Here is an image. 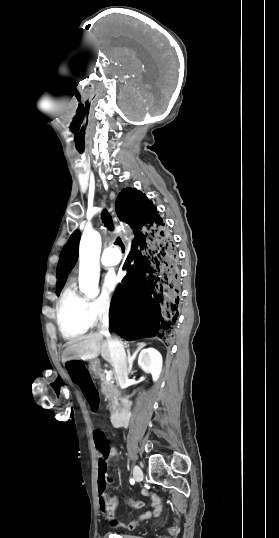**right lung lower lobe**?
<instances>
[{
	"instance_id": "98d812e1",
	"label": "right lung lower lobe",
	"mask_w": 279,
	"mask_h": 538,
	"mask_svg": "<svg viewBox=\"0 0 279 538\" xmlns=\"http://www.w3.org/2000/svg\"><path fill=\"white\" fill-rule=\"evenodd\" d=\"M116 213L127 225L131 254L126 276L116 288L109 323L126 338L170 332L179 315L181 277L172 234L156 207L136 189H123Z\"/></svg>"
}]
</instances>
